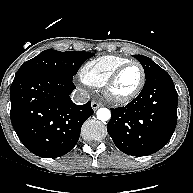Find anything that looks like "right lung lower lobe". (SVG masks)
I'll use <instances>...</instances> for the list:
<instances>
[{
  "label": "right lung lower lobe",
  "instance_id": "right-lung-lower-lobe-1",
  "mask_svg": "<svg viewBox=\"0 0 193 193\" xmlns=\"http://www.w3.org/2000/svg\"><path fill=\"white\" fill-rule=\"evenodd\" d=\"M71 79L46 73L15 77L11 85V122L24 146L37 156L55 158L76 145L81 126L94 111L76 105Z\"/></svg>",
  "mask_w": 193,
  "mask_h": 193
}]
</instances>
